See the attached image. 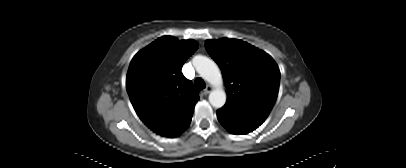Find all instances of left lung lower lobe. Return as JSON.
Instances as JSON below:
<instances>
[{"instance_id": "obj_1", "label": "left lung lower lobe", "mask_w": 406, "mask_h": 168, "mask_svg": "<svg viewBox=\"0 0 406 168\" xmlns=\"http://www.w3.org/2000/svg\"><path fill=\"white\" fill-rule=\"evenodd\" d=\"M217 118L232 134H247L258 128L265 121L224 107L217 111Z\"/></svg>"}]
</instances>
